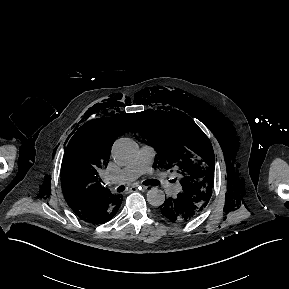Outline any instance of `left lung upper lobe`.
I'll list each match as a JSON object with an SVG mask.
<instances>
[{"label": "left lung upper lobe", "instance_id": "1", "mask_svg": "<svg viewBox=\"0 0 289 289\" xmlns=\"http://www.w3.org/2000/svg\"><path fill=\"white\" fill-rule=\"evenodd\" d=\"M144 136L157 151L155 162L176 168L182 194L206 207L212 194L214 152L210 141L186 114L172 110L146 111L139 115Z\"/></svg>", "mask_w": 289, "mask_h": 289}]
</instances>
